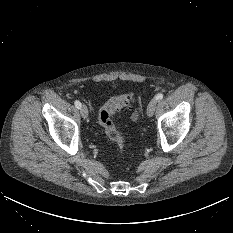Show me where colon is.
<instances>
[{
    "mask_svg": "<svg viewBox=\"0 0 233 233\" xmlns=\"http://www.w3.org/2000/svg\"><path fill=\"white\" fill-rule=\"evenodd\" d=\"M135 102V97L130 94H120L110 98L99 110L98 121L103 127L107 137L116 145L117 149L122 152L125 148V137L121 133L114 121L112 116L121 112L131 110ZM139 118V114L134 112L132 114V120L136 121Z\"/></svg>",
    "mask_w": 233,
    "mask_h": 233,
    "instance_id": "5ec220e1",
    "label": "colon"
}]
</instances>
